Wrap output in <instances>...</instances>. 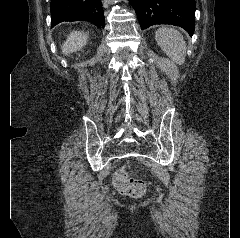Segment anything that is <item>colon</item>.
Wrapping results in <instances>:
<instances>
[{
  "label": "colon",
  "mask_w": 240,
  "mask_h": 238,
  "mask_svg": "<svg viewBox=\"0 0 240 238\" xmlns=\"http://www.w3.org/2000/svg\"><path fill=\"white\" fill-rule=\"evenodd\" d=\"M114 185L123 194L130 197H142L146 193V185L142 180L131 178L123 169L114 175Z\"/></svg>",
  "instance_id": "obj_1"
}]
</instances>
